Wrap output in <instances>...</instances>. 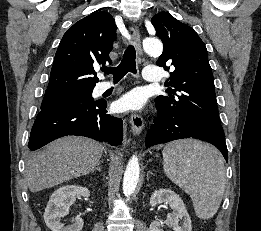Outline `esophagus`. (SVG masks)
<instances>
[{
    "label": "esophagus",
    "instance_id": "obj_1",
    "mask_svg": "<svg viewBox=\"0 0 261 231\" xmlns=\"http://www.w3.org/2000/svg\"><path fill=\"white\" fill-rule=\"evenodd\" d=\"M131 30H132V44L137 50V53L139 55H142L139 28L135 25L134 27H132ZM130 123H131L133 133L135 135H139L144 128L143 118L139 114L133 113L130 118Z\"/></svg>",
    "mask_w": 261,
    "mask_h": 231
}]
</instances>
